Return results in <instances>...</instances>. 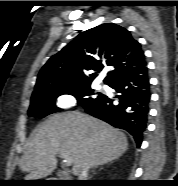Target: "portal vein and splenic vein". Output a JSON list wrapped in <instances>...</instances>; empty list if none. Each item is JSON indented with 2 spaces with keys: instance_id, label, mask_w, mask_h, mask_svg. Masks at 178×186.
Here are the masks:
<instances>
[{
  "instance_id": "obj_1",
  "label": "portal vein and splenic vein",
  "mask_w": 178,
  "mask_h": 186,
  "mask_svg": "<svg viewBox=\"0 0 178 186\" xmlns=\"http://www.w3.org/2000/svg\"><path fill=\"white\" fill-rule=\"evenodd\" d=\"M60 158L63 159V162L65 163L66 166H71L72 159L68 155L60 154Z\"/></svg>"
}]
</instances>
